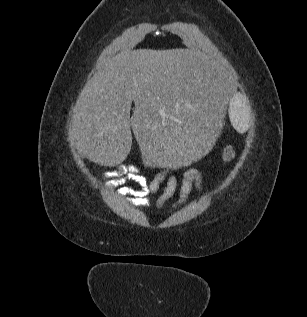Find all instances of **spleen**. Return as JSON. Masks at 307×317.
Wrapping results in <instances>:
<instances>
[{
    "label": "spleen",
    "mask_w": 307,
    "mask_h": 317,
    "mask_svg": "<svg viewBox=\"0 0 307 317\" xmlns=\"http://www.w3.org/2000/svg\"><path fill=\"white\" fill-rule=\"evenodd\" d=\"M236 104H245V97H231L229 117L236 131L244 133L248 128V109L237 108Z\"/></svg>",
    "instance_id": "1"
}]
</instances>
